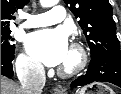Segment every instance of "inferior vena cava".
Here are the masks:
<instances>
[{
    "label": "inferior vena cava",
    "mask_w": 121,
    "mask_h": 94,
    "mask_svg": "<svg viewBox=\"0 0 121 94\" xmlns=\"http://www.w3.org/2000/svg\"><path fill=\"white\" fill-rule=\"evenodd\" d=\"M17 76L21 82V94H41L45 86V70L42 65L23 63L17 68Z\"/></svg>",
    "instance_id": "obj_1"
}]
</instances>
